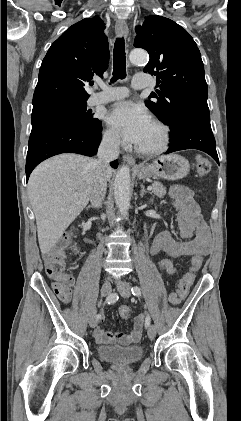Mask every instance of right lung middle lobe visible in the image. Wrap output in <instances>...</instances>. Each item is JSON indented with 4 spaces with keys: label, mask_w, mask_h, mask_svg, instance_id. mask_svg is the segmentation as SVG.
<instances>
[{
    "label": "right lung middle lobe",
    "mask_w": 241,
    "mask_h": 421,
    "mask_svg": "<svg viewBox=\"0 0 241 421\" xmlns=\"http://www.w3.org/2000/svg\"><path fill=\"white\" fill-rule=\"evenodd\" d=\"M54 118L66 119L78 126L97 130L101 121L93 117L92 111L86 110L84 101H51L33 107L32 125Z\"/></svg>",
    "instance_id": "obj_1"
}]
</instances>
